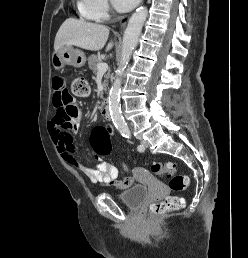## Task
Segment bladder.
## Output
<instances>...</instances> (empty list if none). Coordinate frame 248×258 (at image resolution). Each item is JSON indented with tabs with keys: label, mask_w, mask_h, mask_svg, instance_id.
<instances>
[{
	"label": "bladder",
	"mask_w": 248,
	"mask_h": 258,
	"mask_svg": "<svg viewBox=\"0 0 248 258\" xmlns=\"http://www.w3.org/2000/svg\"><path fill=\"white\" fill-rule=\"evenodd\" d=\"M149 190L147 186L136 184L120 193L117 197L128 208H139L148 197Z\"/></svg>",
	"instance_id": "obj_1"
}]
</instances>
